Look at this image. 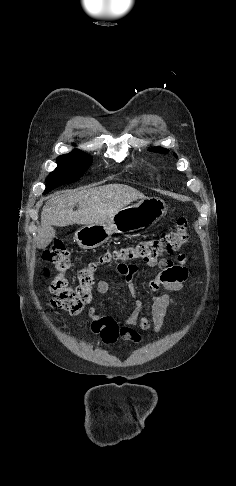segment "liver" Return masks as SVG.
<instances>
[{
    "instance_id": "1",
    "label": "liver",
    "mask_w": 236,
    "mask_h": 486,
    "mask_svg": "<svg viewBox=\"0 0 236 486\" xmlns=\"http://www.w3.org/2000/svg\"><path fill=\"white\" fill-rule=\"evenodd\" d=\"M144 198L146 196L143 193L123 184L70 190L46 202L41 212V226L102 223L129 203ZM76 204L79 208L73 211Z\"/></svg>"
}]
</instances>
